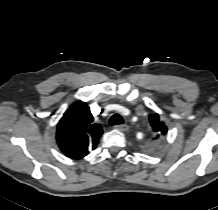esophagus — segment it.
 Instances as JSON below:
<instances>
[{"label":"esophagus","instance_id":"34e87169","mask_svg":"<svg viewBox=\"0 0 218 210\" xmlns=\"http://www.w3.org/2000/svg\"><path fill=\"white\" fill-rule=\"evenodd\" d=\"M116 129L121 131V132H125L128 130V126L126 124H122V125H117Z\"/></svg>","mask_w":218,"mask_h":210}]
</instances>
